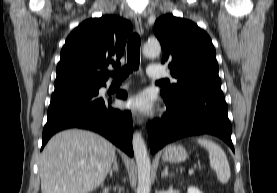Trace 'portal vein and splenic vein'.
I'll return each instance as SVG.
<instances>
[{
	"mask_svg": "<svg viewBox=\"0 0 277 193\" xmlns=\"http://www.w3.org/2000/svg\"><path fill=\"white\" fill-rule=\"evenodd\" d=\"M190 175L194 173V169H190L188 172Z\"/></svg>",
	"mask_w": 277,
	"mask_h": 193,
	"instance_id": "portal-vein-and-splenic-vein-1",
	"label": "portal vein and splenic vein"
}]
</instances>
